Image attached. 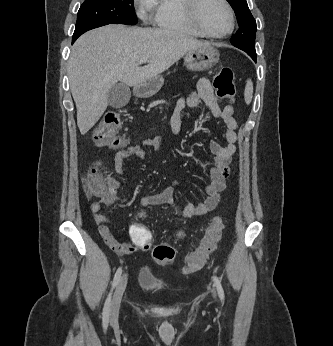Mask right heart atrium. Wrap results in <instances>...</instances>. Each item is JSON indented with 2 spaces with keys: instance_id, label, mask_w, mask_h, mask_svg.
I'll return each instance as SVG.
<instances>
[{
  "instance_id": "obj_1",
  "label": "right heart atrium",
  "mask_w": 333,
  "mask_h": 346,
  "mask_svg": "<svg viewBox=\"0 0 333 346\" xmlns=\"http://www.w3.org/2000/svg\"><path fill=\"white\" fill-rule=\"evenodd\" d=\"M134 3L140 19L150 21L158 8L159 0H134Z\"/></svg>"
}]
</instances>
